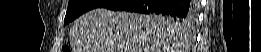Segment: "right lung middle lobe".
I'll use <instances>...</instances> for the list:
<instances>
[{"label": "right lung middle lobe", "mask_w": 261, "mask_h": 52, "mask_svg": "<svg viewBox=\"0 0 261 52\" xmlns=\"http://www.w3.org/2000/svg\"><path fill=\"white\" fill-rule=\"evenodd\" d=\"M109 0H70L68 4L67 13L65 16L64 24H68L70 21L74 20L84 12L88 10L102 7L107 4ZM195 16V15H194ZM194 16L191 18L180 19L175 16H162L167 22L173 23L175 25H180L181 23L191 22L194 19Z\"/></svg>", "instance_id": "obj_1"}]
</instances>
